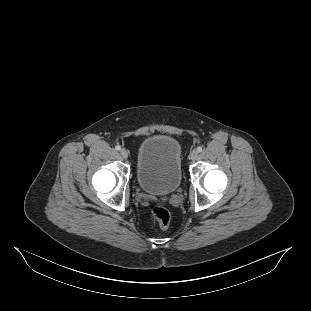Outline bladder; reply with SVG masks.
Instances as JSON below:
<instances>
[{"instance_id": "31cf9c89", "label": "bladder", "mask_w": 311, "mask_h": 311, "mask_svg": "<svg viewBox=\"0 0 311 311\" xmlns=\"http://www.w3.org/2000/svg\"><path fill=\"white\" fill-rule=\"evenodd\" d=\"M136 180L142 191L151 195H168L182 183V149L172 136L156 134L139 145Z\"/></svg>"}]
</instances>
